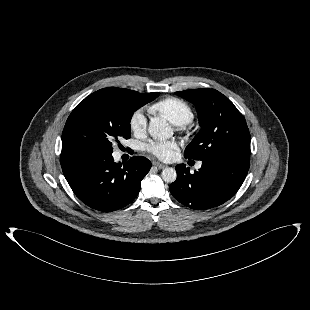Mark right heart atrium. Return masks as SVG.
<instances>
[{
	"label": "right heart atrium",
	"instance_id": "right-heart-atrium-1",
	"mask_svg": "<svg viewBox=\"0 0 310 310\" xmlns=\"http://www.w3.org/2000/svg\"><path fill=\"white\" fill-rule=\"evenodd\" d=\"M147 120L142 110L133 113L130 119V129L135 135H142L146 130Z\"/></svg>",
	"mask_w": 310,
	"mask_h": 310
}]
</instances>
